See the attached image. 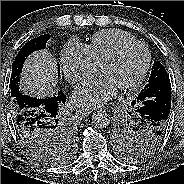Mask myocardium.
Wrapping results in <instances>:
<instances>
[{
  "instance_id": "obj_1",
  "label": "myocardium",
  "mask_w": 184,
  "mask_h": 184,
  "mask_svg": "<svg viewBox=\"0 0 184 184\" xmlns=\"http://www.w3.org/2000/svg\"><path fill=\"white\" fill-rule=\"evenodd\" d=\"M134 46L140 47L145 52V56H146L145 63L143 65L140 73L138 74V76L133 81H131L130 83H128L125 86L120 88V90H122V91H129V90L136 89L137 87H139V85L145 79V77L148 73V70L150 68V65H151V60H152L151 52H150L148 46L145 43H142L138 40L125 42V43L119 45L115 50H113L110 54L105 56L98 63V69H99L102 65L115 61L116 59H118L121 56V54L125 50H127L128 48L134 47Z\"/></svg>"
}]
</instances>
